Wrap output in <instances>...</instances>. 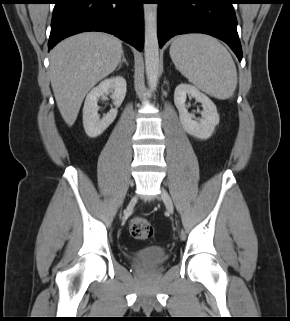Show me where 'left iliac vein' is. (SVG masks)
I'll return each mask as SVG.
<instances>
[{
	"label": "left iliac vein",
	"instance_id": "obj_1",
	"mask_svg": "<svg viewBox=\"0 0 290 321\" xmlns=\"http://www.w3.org/2000/svg\"><path fill=\"white\" fill-rule=\"evenodd\" d=\"M161 198H162L167 210L169 212L173 213L174 205H173L172 199L169 196V194L167 193V191L163 188L161 189Z\"/></svg>",
	"mask_w": 290,
	"mask_h": 321
}]
</instances>
